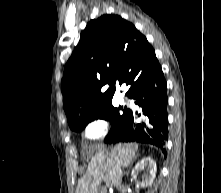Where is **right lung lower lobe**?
<instances>
[{
    "instance_id": "right-lung-lower-lobe-1",
    "label": "right lung lower lobe",
    "mask_w": 221,
    "mask_h": 193,
    "mask_svg": "<svg viewBox=\"0 0 221 193\" xmlns=\"http://www.w3.org/2000/svg\"><path fill=\"white\" fill-rule=\"evenodd\" d=\"M129 98L136 100L142 115L130 110L123 127L106 141H137L163 147L168 140L167 84L158 61L133 84Z\"/></svg>"
}]
</instances>
